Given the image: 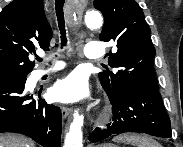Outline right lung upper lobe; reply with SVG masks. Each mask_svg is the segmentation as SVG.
<instances>
[{"label":"right lung upper lobe","instance_id":"right-lung-upper-lobe-1","mask_svg":"<svg viewBox=\"0 0 183 147\" xmlns=\"http://www.w3.org/2000/svg\"><path fill=\"white\" fill-rule=\"evenodd\" d=\"M52 29L43 0H13L0 13V83L26 77L35 48L49 50Z\"/></svg>","mask_w":183,"mask_h":147}]
</instances>
